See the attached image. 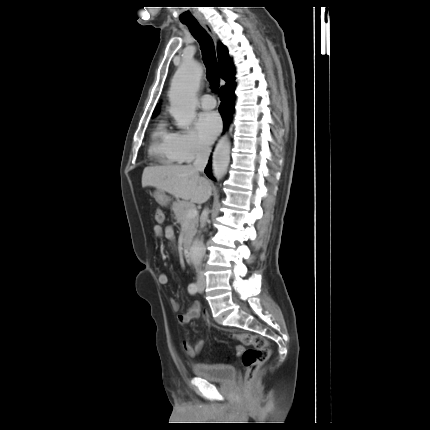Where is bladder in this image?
<instances>
[{"label": "bladder", "mask_w": 430, "mask_h": 430, "mask_svg": "<svg viewBox=\"0 0 430 430\" xmlns=\"http://www.w3.org/2000/svg\"><path fill=\"white\" fill-rule=\"evenodd\" d=\"M192 371L196 377L224 384L231 382L236 375L235 367L230 364L199 363L192 366Z\"/></svg>", "instance_id": "31cf9c89"}]
</instances>
